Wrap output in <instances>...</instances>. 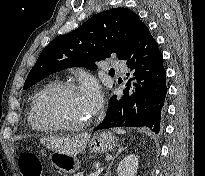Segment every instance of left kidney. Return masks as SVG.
I'll use <instances>...</instances> for the list:
<instances>
[{
    "label": "left kidney",
    "mask_w": 205,
    "mask_h": 176,
    "mask_svg": "<svg viewBox=\"0 0 205 176\" xmlns=\"http://www.w3.org/2000/svg\"><path fill=\"white\" fill-rule=\"evenodd\" d=\"M138 159L139 157L134 154L127 155L123 158L117 168L118 176H135L139 165Z\"/></svg>",
    "instance_id": "left-kidney-1"
}]
</instances>
